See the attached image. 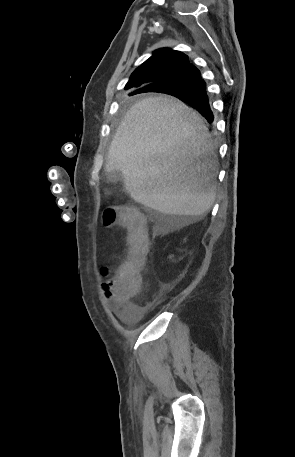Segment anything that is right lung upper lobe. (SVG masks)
Listing matches in <instances>:
<instances>
[{
	"instance_id": "1",
	"label": "right lung upper lobe",
	"mask_w": 295,
	"mask_h": 457,
	"mask_svg": "<svg viewBox=\"0 0 295 457\" xmlns=\"http://www.w3.org/2000/svg\"><path fill=\"white\" fill-rule=\"evenodd\" d=\"M189 63L188 56L179 51L161 48L132 73L125 89H142L166 82L178 76ZM136 90V91H137Z\"/></svg>"
}]
</instances>
